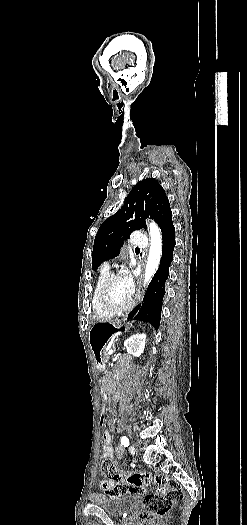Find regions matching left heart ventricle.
Returning a JSON list of instances; mask_svg holds the SVG:
<instances>
[{"label": "left heart ventricle", "instance_id": "obj_1", "mask_svg": "<svg viewBox=\"0 0 247 525\" xmlns=\"http://www.w3.org/2000/svg\"><path fill=\"white\" fill-rule=\"evenodd\" d=\"M125 278L114 279L105 292V296L110 301L124 302L129 297V294L125 289Z\"/></svg>", "mask_w": 247, "mask_h": 525}]
</instances>
